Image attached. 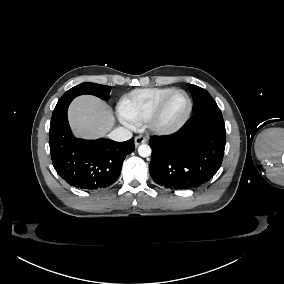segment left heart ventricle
I'll list each match as a JSON object with an SVG mask.
<instances>
[{"instance_id":"obj_1","label":"left heart ventricle","mask_w":284,"mask_h":284,"mask_svg":"<svg viewBox=\"0 0 284 284\" xmlns=\"http://www.w3.org/2000/svg\"><path fill=\"white\" fill-rule=\"evenodd\" d=\"M188 109V99L184 92L174 93L166 102L163 111L156 119L159 128L167 129L177 125Z\"/></svg>"}]
</instances>
